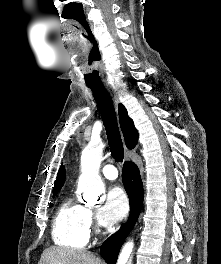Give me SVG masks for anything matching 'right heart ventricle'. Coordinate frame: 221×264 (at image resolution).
Listing matches in <instances>:
<instances>
[{"label":"right heart ventricle","mask_w":221,"mask_h":264,"mask_svg":"<svg viewBox=\"0 0 221 264\" xmlns=\"http://www.w3.org/2000/svg\"><path fill=\"white\" fill-rule=\"evenodd\" d=\"M89 211L71 197L60 204L52 227L54 242L63 247L83 248L90 239Z\"/></svg>","instance_id":"e07e8e85"}]
</instances>
